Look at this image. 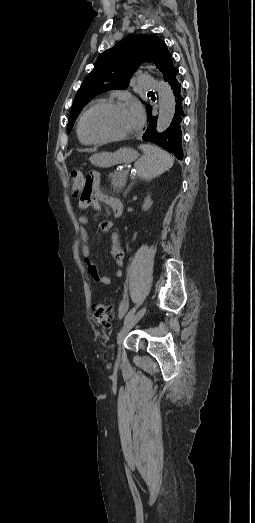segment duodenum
<instances>
[{
    "label": "duodenum",
    "mask_w": 255,
    "mask_h": 523,
    "mask_svg": "<svg viewBox=\"0 0 255 523\" xmlns=\"http://www.w3.org/2000/svg\"><path fill=\"white\" fill-rule=\"evenodd\" d=\"M109 205L111 206L114 214L116 217H120L123 212V204L122 202L117 198H110L108 200Z\"/></svg>",
    "instance_id": "duodenum-1"
}]
</instances>
